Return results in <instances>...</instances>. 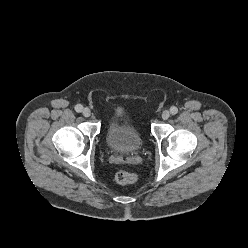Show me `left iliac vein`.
<instances>
[{
  "instance_id": "left-iliac-vein-1",
  "label": "left iliac vein",
  "mask_w": 248,
  "mask_h": 248,
  "mask_svg": "<svg viewBox=\"0 0 248 248\" xmlns=\"http://www.w3.org/2000/svg\"><path fill=\"white\" fill-rule=\"evenodd\" d=\"M162 119L167 120L170 117V112L168 110H165L162 112Z\"/></svg>"
}]
</instances>
